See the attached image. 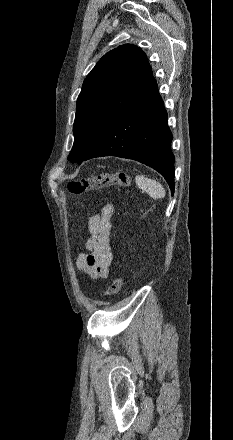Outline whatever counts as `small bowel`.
Returning a JSON list of instances; mask_svg holds the SVG:
<instances>
[{
	"label": "small bowel",
	"mask_w": 233,
	"mask_h": 440,
	"mask_svg": "<svg viewBox=\"0 0 233 440\" xmlns=\"http://www.w3.org/2000/svg\"><path fill=\"white\" fill-rule=\"evenodd\" d=\"M114 213L112 203H107L100 213L88 219L90 237L86 242L87 252L78 254L77 268L90 277L106 278L113 260V247L111 244V218Z\"/></svg>",
	"instance_id": "small-bowel-1"
}]
</instances>
